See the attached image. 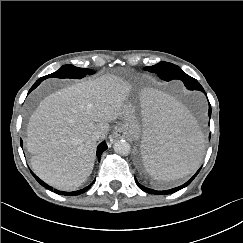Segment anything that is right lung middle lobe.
Returning <instances> with one entry per match:
<instances>
[{
  "label": "right lung middle lobe",
  "mask_w": 243,
  "mask_h": 243,
  "mask_svg": "<svg viewBox=\"0 0 243 243\" xmlns=\"http://www.w3.org/2000/svg\"><path fill=\"white\" fill-rule=\"evenodd\" d=\"M94 72L85 68H78L73 65H63L58 71L44 76L41 79L43 81L46 78L57 77V78H77L80 79L84 77L86 74H93Z\"/></svg>",
  "instance_id": "obj_1"
}]
</instances>
